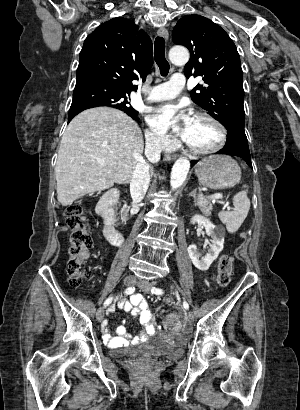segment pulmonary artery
<instances>
[{
    "label": "pulmonary artery",
    "mask_w": 300,
    "mask_h": 410,
    "mask_svg": "<svg viewBox=\"0 0 300 410\" xmlns=\"http://www.w3.org/2000/svg\"><path fill=\"white\" fill-rule=\"evenodd\" d=\"M185 85L183 74H173L166 83L154 86L150 90L149 100L158 102L176 97Z\"/></svg>",
    "instance_id": "1"
}]
</instances>
